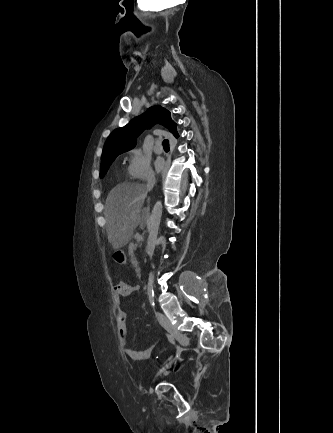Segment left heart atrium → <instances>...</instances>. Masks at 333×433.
Returning a JSON list of instances; mask_svg holds the SVG:
<instances>
[{"label":"left heart atrium","instance_id":"39dd6f15","mask_svg":"<svg viewBox=\"0 0 333 433\" xmlns=\"http://www.w3.org/2000/svg\"><path fill=\"white\" fill-rule=\"evenodd\" d=\"M155 167H156V169L158 171H160L163 168V162H162V160H160V159L156 160Z\"/></svg>","mask_w":333,"mask_h":433}]
</instances>
